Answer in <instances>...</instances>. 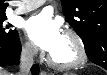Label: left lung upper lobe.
<instances>
[{
  "label": "left lung upper lobe",
  "instance_id": "left-lung-upper-lobe-1",
  "mask_svg": "<svg viewBox=\"0 0 107 75\" xmlns=\"http://www.w3.org/2000/svg\"><path fill=\"white\" fill-rule=\"evenodd\" d=\"M66 21L82 39L87 56L106 43L107 0H61Z\"/></svg>",
  "mask_w": 107,
  "mask_h": 75
}]
</instances>
